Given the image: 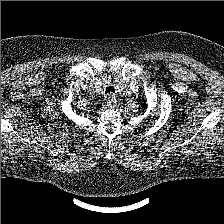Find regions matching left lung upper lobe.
Masks as SVG:
<instances>
[{"mask_svg":"<svg viewBox=\"0 0 224 224\" xmlns=\"http://www.w3.org/2000/svg\"><path fill=\"white\" fill-rule=\"evenodd\" d=\"M146 106H147V105H146L145 103L142 104V107H143L144 109L146 108Z\"/></svg>","mask_w":224,"mask_h":224,"instance_id":"obj_1","label":"left lung upper lobe"}]
</instances>
